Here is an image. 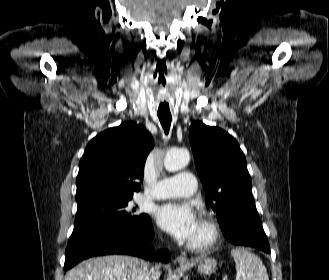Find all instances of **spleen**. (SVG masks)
<instances>
[{"instance_id":"obj_1","label":"spleen","mask_w":329,"mask_h":280,"mask_svg":"<svg viewBox=\"0 0 329 280\" xmlns=\"http://www.w3.org/2000/svg\"><path fill=\"white\" fill-rule=\"evenodd\" d=\"M236 265V280H269L261 259L244 248L231 251Z\"/></svg>"}]
</instances>
